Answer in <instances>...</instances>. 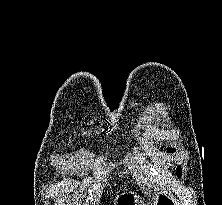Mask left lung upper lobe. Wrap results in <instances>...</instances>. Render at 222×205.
<instances>
[{"label": "left lung upper lobe", "mask_w": 222, "mask_h": 205, "mask_svg": "<svg viewBox=\"0 0 222 205\" xmlns=\"http://www.w3.org/2000/svg\"><path fill=\"white\" fill-rule=\"evenodd\" d=\"M174 151H175L174 149L168 148V152L173 153ZM177 173H178L179 176H181V169H180V167L177 168Z\"/></svg>", "instance_id": "1"}]
</instances>
